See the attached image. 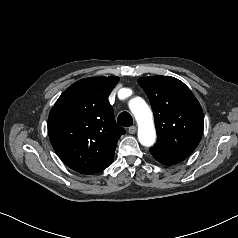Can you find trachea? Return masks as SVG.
Returning <instances> with one entry per match:
<instances>
[{
  "instance_id": "3493384b",
  "label": "trachea",
  "mask_w": 238,
  "mask_h": 238,
  "mask_svg": "<svg viewBox=\"0 0 238 238\" xmlns=\"http://www.w3.org/2000/svg\"><path fill=\"white\" fill-rule=\"evenodd\" d=\"M117 122L123 127H129L133 124V119L128 112H122L119 114Z\"/></svg>"
}]
</instances>
